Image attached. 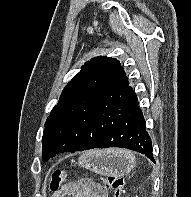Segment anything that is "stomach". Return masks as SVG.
<instances>
[{
    "mask_svg": "<svg viewBox=\"0 0 191 197\" xmlns=\"http://www.w3.org/2000/svg\"><path fill=\"white\" fill-rule=\"evenodd\" d=\"M135 161L126 157L118 149L90 150L78 159V165L103 176L120 177L128 174Z\"/></svg>",
    "mask_w": 191,
    "mask_h": 197,
    "instance_id": "obj_1",
    "label": "stomach"
}]
</instances>
